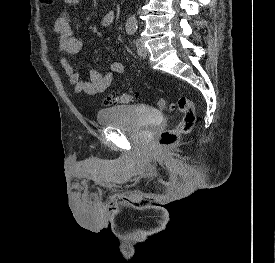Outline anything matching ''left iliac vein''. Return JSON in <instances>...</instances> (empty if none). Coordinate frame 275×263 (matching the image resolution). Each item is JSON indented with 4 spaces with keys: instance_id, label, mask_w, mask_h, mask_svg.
Listing matches in <instances>:
<instances>
[{
    "instance_id": "obj_1",
    "label": "left iliac vein",
    "mask_w": 275,
    "mask_h": 263,
    "mask_svg": "<svg viewBox=\"0 0 275 263\" xmlns=\"http://www.w3.org/2000/svg\"><path fill=\"white\" fill-rule=\"evenodd\" d=\"M136 48L139 56L145 58L147 56V49L144 46L143 42L141 39L136 40Z\"/></svg>"
}]
</instances>
